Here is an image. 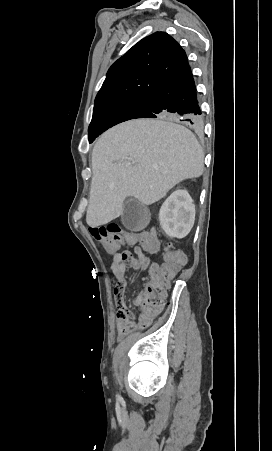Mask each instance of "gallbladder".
I'll return each instance as SVG.
<instances>
[{
    "label": "gallbladder",
    "mask_w": 272,
    "mask_h": 451,
    "mask_svg": "<svg viewBox=\"0 0 272 451\" xmlns=\"http://www.w3.org/2000/svg\"><path fill=\"white\" fill-rule=\"evenodd\" d=\"M149 216V210L144 204L138 202L136 198H129L124 204L121 220L123 226L127 229L138 231V229H143L149 224Z\"/></svg>",
    "instance_id": "1"
}]
</instances>
